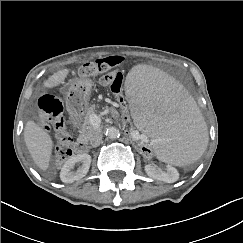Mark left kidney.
<instances>
[{"mask_svg":"<svg viewBox=\"0 0 243 243\" xmlns=\"http://www.w3.org/2000/svg\"><path fill=\"white\" fill-rule=\"evenodd\" d=\"M145 172L151 178L163 181L165 183H174L179 179V173L176 168L168 164L166 171L158 169L156 165L147 164L145 166Z\"/></svg>","mask_w":243,"mask_h":243,"instance_id":"obj_1","label":"left kidney"}]
</instances>
